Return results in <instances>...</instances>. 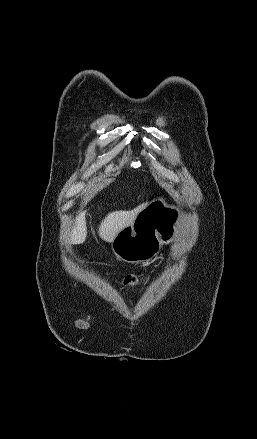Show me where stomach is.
Instances as JSON below:
<instances>
[{"label": "stomach", "instance_id": "obj_1", "mask_svg": "<svg viewBox=\"0 0 257 439\" xmlns=\"http://www.w3.org/2000/svg\"><path fill=\"white\" fill-rule=\"evenodd\" d=\"M183 212L159 197L147 204L131 225L114 238V255L128 263H140L155 257L163 243L173 241L181 229Z\"/></svg>", "mask_w": 257, "mask_h": 439}]
</instances>
